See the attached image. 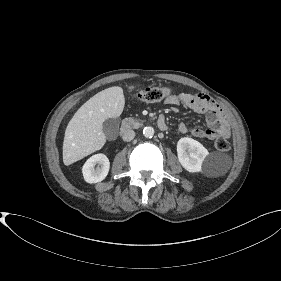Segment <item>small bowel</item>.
Listing matches in <instances>:
<instances>
[{
	"mask_svg": "<svg viewBox=\"0 0 281 281\" xmlns=\"http://www.w3.org/2000/svg\"><path fill=\"white\" fill-rule=\"evenodd\" d=\"M166 103L172 106L185 105L196 113H206L208 128H189L184 123L178 125L177 133H190L192 136L212 140L216 136L230 137L231 131L226 116L220 106L208 95L196 93L172 94L166 98Z\"/></svg>",
	"mask_w": 281,
	"mask_h": 281,
	"instance_id": "1",
	"label": "small bowel"
}]
</instances>
